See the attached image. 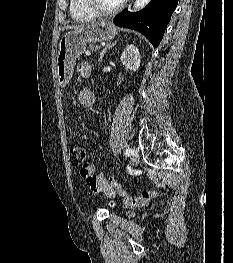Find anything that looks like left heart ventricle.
<instances>
[{
    "mask_svg": "<svg viewBox=\"0 0 233 263\" xmlns=\"http://www.w3.org/2000/svg\"><path fill=\"white\" fill-rule=\"evenodd\" d=\"M96 5L102 10H111L115 8L121 0H94Z\"/></svg>",
    "mask_w": 233,
    "mask_h": 263,
    "instance_id": "obj_1",
    "label": "left heart ventricle"
}]
</instances>
